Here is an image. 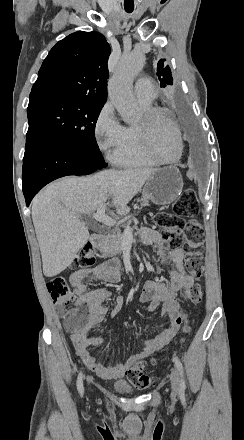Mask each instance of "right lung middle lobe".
<instances>
[{"label": "right lung middle lobe", "instance_id": "1", "mask_svg": "<svg viewBox=\"0 0 244 440\" xmlns=\"http://www.w3.org/2000/svg\"><path fill=\"white\" fill-rule=\"evenodd\" d=\"M104 103L82 98L29 100L26 137L49 136L88 151H97L95 125Z\"/></svg>", "mask_w": 244, "mask_h": 440}]
</instances>
